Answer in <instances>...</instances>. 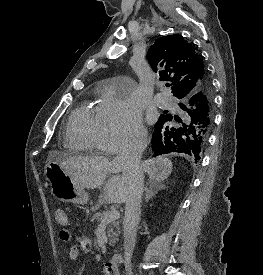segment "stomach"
<instances>
[{"instance_id":"obj_1","label":"stomach","mask_w":263,"mask_h":275,"mask_svg":"<svg viewBox=\"0 0 263 275\" xmlns=\"http://www.w3.org/2000/svg\"><path fill=\"white\" fill-rule=\"evenodd\" d=\"M44 174L50 183L51 194L63 202L84 205L88 202V193L78 185L55 161H48ZM97 208L99 205H96Z\"/></svg>"}]
</instances>
